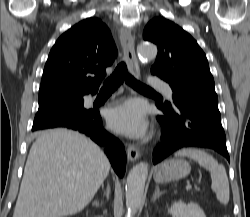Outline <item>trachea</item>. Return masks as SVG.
Segmentation results:
<instances>
[{
	"label": "trachea",
	"mask_w": 250,
	"mask_h": 217,
	"mask_svg": "<svg viewBox=\"0 0 250 217\" xmlns=\"http://www.w3.org/2000/svg\"><path fill=\"white\" fill-rule=\"evenodd\" d=\"M124 80L134 89L153 91L150 87L137 81L131 74H129L124 62H121L115 69L114 73L104 82L101 91L113 92L123 83Z\"/></svg>",
	"instance_id": "3493384b"
}]
</instances>
